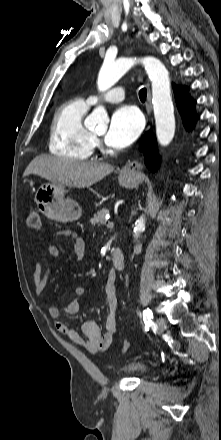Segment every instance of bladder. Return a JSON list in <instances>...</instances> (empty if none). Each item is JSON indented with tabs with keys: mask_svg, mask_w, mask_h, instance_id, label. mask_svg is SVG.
Returning a JSON list of instances; mask_svg holds the SVG:
<instances>
[{
	"mask_svg": "<svg viewBox=\"0 0 221 440\" xmlns=\"http://www.w3.org/2000/svg\"><path fill=\"white\" fill-rule=\"evenodd\" d=\"M122 371L142 376L148 372V367L139 360H130L123 365Z\"/></svg>",
	"mask_w": 221,
	"mask_h": 440,
	"instance_id": "bladder-1",
	"label": "bladder"
}]
</instances>
